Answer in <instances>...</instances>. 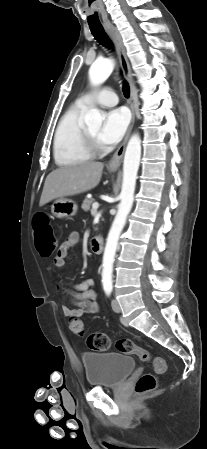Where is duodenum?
I'll return each mask as SVG.
<instances>
[{"instance_id": "duodenum-1", "label": "duodenum", "mask_w": 207, "mask_h": 449, "mask_svg": "<svg viewBox=\"0 0 207 449\" xmlns=\"http://www.w3.org/2000/svg\"><path fill=\"white\" fill-rule=\"evenodd\" d=\"M103 246H104V242L102 237L97 236V237H93L91 239V248L93 250V252L99 254L102 252L103 250Z\"/></svg>"}]
</instances>
